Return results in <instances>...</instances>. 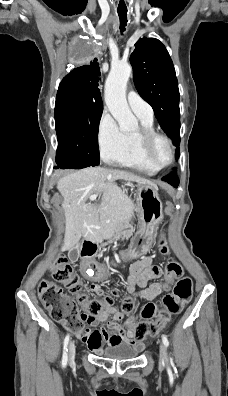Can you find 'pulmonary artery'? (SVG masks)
Segmentation results:
<instances>
[{"instance_id":"1","label":"pulmonary artery","mask_w":228,"mask_h":396,"mask_svg":"<svg viewBox=\"0 0 228 396\" xmlns=\"http://www.w3.org/2000/svg\"><path fill=\"white\" fill-rule=\"evenodd\" d=\"M127 101L131 110L141 116L153 118V109L136 91H129Z\"/></svg>"}]
</instances>
